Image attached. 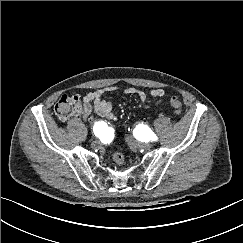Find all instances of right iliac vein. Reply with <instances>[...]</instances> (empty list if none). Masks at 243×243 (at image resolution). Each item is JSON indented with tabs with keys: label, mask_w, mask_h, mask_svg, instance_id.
<instances>
[{
	"label": "right iliac vein",
	"mask_w": 243,
	"mask_h": 243,
	"mask_svg": "<svg viewBox=\"0 0 243 243\" xmlns=\"http://www.w3.org/2000/svg\"><path fill=\"white\" fill-rule=\"evenodd\" d=\"M99 146H100V142L98 140L92 142V147L97 148Z\"/></svg>",
	"instance_id": "63e3f726"
}]
</instances>
